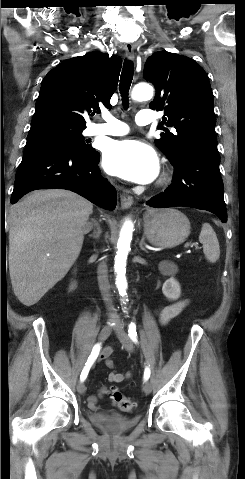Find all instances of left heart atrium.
<instances>
[{"instance_id": "left-heart-atrium-1", "label": "left heart atrium", "mask_w": 245, "mask_h": 479, "mask_svg": "<svg viewBox=\"0 0 245 479\" xmlns=\"http://www.w3.org/2000/svg\"><path fill=\"white\" fill-rule=\"evenodd\" d=\"M102 164L108 173L141 184L153 181L159 173L155 151L132 139L110 142L104 149Z\"/></svg>"}]
</instances>
